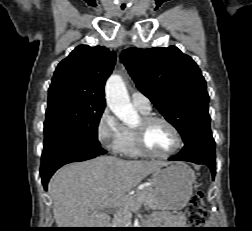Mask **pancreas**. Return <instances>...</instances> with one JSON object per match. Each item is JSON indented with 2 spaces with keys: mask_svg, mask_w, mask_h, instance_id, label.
I'll list each match as a JSON object with an SVG mask.
<instances>
[{
  "mask_svg": "<svg viewBox=\"0 0 252 231\" xmlns=\"http://www.w3.org/2000/svg\"><path fill=\"white\" fill-rule=\"evenodd\" d=\"M138 204H144L150 208L155 207V195L152 187H146L140 190L136 195L131 196V202L122 205L114 218L118 227H127L130 224L131 212Z\"/></svg>",
  "mask_w": 252,
  "mask_h": 231,
  "instance_id": "obj_1",
  "label": "pancreas"
}]
</instances>
